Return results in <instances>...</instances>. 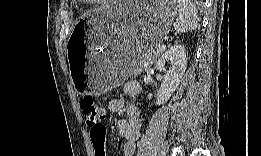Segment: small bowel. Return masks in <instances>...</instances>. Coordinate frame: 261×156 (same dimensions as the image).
I'll return each mask as SVG.
<instances>
[{"mask_svg":"<svg viewBox=\"0 0 261 156\" xmlns=\"http://www.w3.org/2000/svg\"><path fill=\"white\" fill-rule=\"evenodd\" d=\"M141 86L136 81H129L124 86V93L127 96H136L140 93ZM126 103L123 98H113L108 103V109L112 112H120L124 109ZM127 119H119L117 128L119 133L125 138L123 146V156H133L136 150V145L140 137L141 122L139 119L138 107L134 104H129L126 107ZM106 150L101 156H106ZM97 156V155H96Z\"/></svg>","mask_w":261,"mask_h":156,"instance_id":"c3829d8e","label":"small bowel"}]
</instances>
